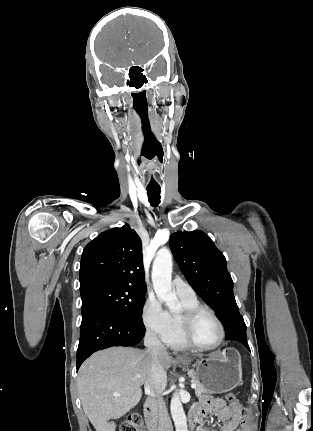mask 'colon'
Wrapping results in <instances>:
<instances>
[{
	"mask_svg": "<svg viewBox=\"0 0 313 431\" xmlns=\"http://www.w3.org/2000/svg\"><path fill=\"white\" fill-rule=\"evenodd\" d=\"M226 399L230 403H236L237 397L234 393L226 394ZM143 420L139 414L132 415L127 421L123 422L120 431H142Z\"/></svg>",
	"mask_w": 313,
	"mask_h": 431,
	"instance_id": "1",
	"label": "colon"
}]
</instances>
